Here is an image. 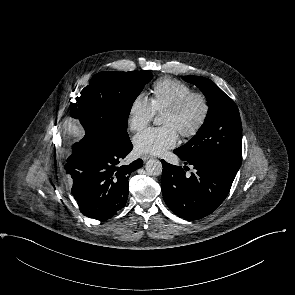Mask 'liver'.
I'll return each instance as SVG.
<instances>
[{
	"label": "liver",
	"mask_w": 295,
	"mask_h": 295,
	"mask_svg": "<svg viewBox=\"0 0 295 295\" xmlns=\"http://www.w3.org/2000/svg\"><path fill=\"white\" fill-rule=\"evenodd\" d=\"M65 128L69 134L73 135L74 137H80L83 132L81 128L77 125L76 122L72 120H68L65 124Z\"/></svg>",
	"instance_id": "liver-1"
}]
</instances>
